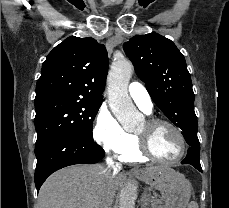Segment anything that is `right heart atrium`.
I'll use <instances>...</instances> for the list:
<instances>
[{
    "mask_svg": "<svg viewBox=\"0 0 229 208\" xmlns=\"http://www.w3.org/2000/svg\"><path fill=\"white\" fill-rule=\"evenodd\" d=\"M95 142L104 150L118 155L133 151L137 142L135 137L128 133L116 120L107 107H100L92 128Z\"/></svg>",
    "mask_w": 229,
    "mask_h": 208,
    "instance_id": "right-heart-atrium-1",
    "label": "right heart atrium"
}]
</instances>
